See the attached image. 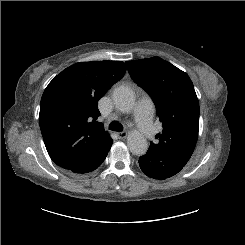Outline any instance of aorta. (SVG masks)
<instances>
[{
	"instance_id": "1",
	"label": "aorta",
	"mask_w": 245,
	"mask_h": 245,
	"mask_svg": "<svg viewBox=\"0 0 245 245\" xmlns=\"http://www.w3.org/2000/svg\"><path fill=\"white\" fill-rule=\"evenodd\" d=\"M113 101L117 109L129 112L134 106L135 94L131 88L120 86L113 92ZM127 145L130 151L137 156L144 155L149 147L147 139L138 131H131L128 134Z\"/></svg>"
}]
</instances>
